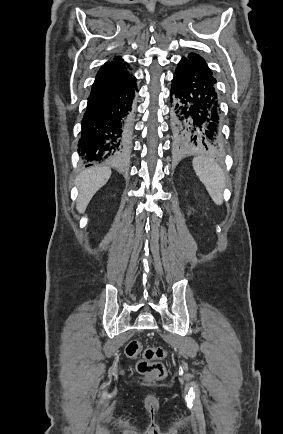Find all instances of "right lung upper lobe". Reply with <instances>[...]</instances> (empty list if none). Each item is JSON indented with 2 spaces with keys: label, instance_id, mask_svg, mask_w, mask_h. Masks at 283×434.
Listing matches in <instances>:
<instances>
[{
  "label": "right lung upper lobe",
  "instance_id": "cb5924a9",
  "mask_svg": "<svg viewBox=\"0 0 283 434\" xmlns=\"http://www.w3.org/2000/svg\"><path fill=\"white\" fill-rule=\"evenodd\" d=\"M132 76L128 73L126 65L120 57L114 61L105 63L98 71L92 85L91 93L117 87Z\"/></svg>",
  "mask_w": 283,
  "mask_h": 434
}]
</instances>
